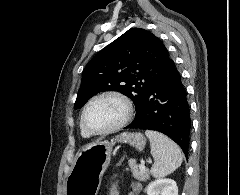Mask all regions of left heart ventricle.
Returning a JSON list of instances; mask_svg holds the SVG:
<instances>
[{"label":"left heart ventricle","mask_w":240,"mask_h":195,"mask_svg":"<svg viewBox=\"0 0 240 195\" xmlns=\"http://www.w3.org/2000/svg\"><path fill=\"white\" fill-rule=\"evenodd\" d=\"M124 112L122 103L114 98H106L94 103L87 111L85 125L90 131L105 129L117 123Z\"/></svg>","instance_id":"1"}]
</instances>
